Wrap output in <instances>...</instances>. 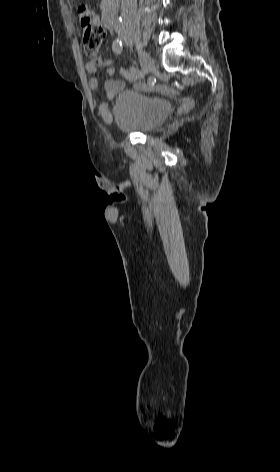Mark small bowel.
<instances>
[{
  "label": "small bowel",
  "mask_w": 280,
  "mask_h": 472,
  "mask_svg": "<svg viewBox=\"0 0 280 472\" xmlns=\"http://www.w3.org/2000/svg\"><path fill=\"white\" fill-rule=\"evenodd\" d=\"M99 68H105L109 76H113L115 74V67L113 65V62L108 58L97 56L87 61L84 64V69L90 75V78L88 80V86L93 91L96 90L99 85L98 79L94 76V74ZM122 74L128 82H135L137 80L131 75L130 71H122ZM124 87L125 82L121 80H108L105 82L104 85L106 95L109 99H113L116 94ZM99 112L104 120L110 119L111 114L106 103H102L100 105Z\"/></svg>",
  "instance_id": "c3829d8e"
}]
</instances>
